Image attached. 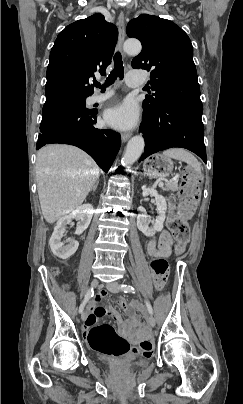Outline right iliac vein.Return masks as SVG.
<instances>
[{"label": "right iliac vein", "instance_id": "63e3f726", "mask_svg": "<svg viewBox=\"0 0 243 404\" xmlns=\"http://www.w3.org/2000/svg\"><path fill=\"white\" fill-rule=\"evenodd\" d=\"M98 283H99V282H98L97 279H93L92 282H91V287H92V288H93V287H94V288L97 287ZM86 317H87V312H86V311H83L82 314H81V319H82V320H85Z\"/></svg>", "mask_w": 243, "mask_h": 404}]
</instances>
